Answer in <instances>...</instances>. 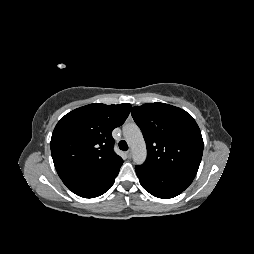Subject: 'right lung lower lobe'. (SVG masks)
Segmentation results:
<instances>
[{
	"mask_svg": "<svg viewBox=\"0 0 254 254\" xmlns=\"http://www.w3.org/2000/svg\"><path fill=\"white\" fill-rule=\"evenodd\" d=\"M121 165L95 173L73 175L62 181L73 193L80 197H98L112 187Z\"/></svg>",
	"mask_w": 254,
	"mask_h": 254,
	"instance_id": "obj_1",
	"label": "right lung lower lobe"
}]
</instances>
